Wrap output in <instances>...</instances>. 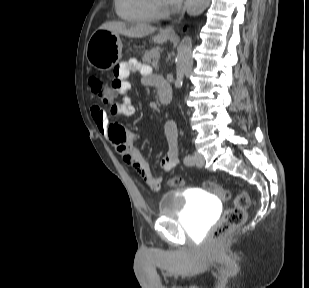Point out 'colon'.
<instances>
[{
	"label": "colon",
	"mask_w": 309,
	"mask_h": 288,
	"mask_svg": "<svg viewBox=\"0 0 309 288\" xmlns=\"http://www.w3.org/2000/svg\"><path fill=\"white\" fill-rule=\"evenodd\" d=\"M88 87L92 94L104 102L110 100L119 93V84H108L97 75H91L88 79ZM168 184L171 187L180 188L184 185L181 177L174 176L169 179ZM204 186L207 191L217 195L220 199L227 201L232 198L231 190L221 185L206 182ZM233 205L225 210L221 219L216 223L212 232L211 239L217 241L225 237L231 230L241 226L246 218V212L250 205L249 194L245 190H239L233 196Z\"/></svg>",
	"instance_id": "5ec220e1"
}]
</instances>
